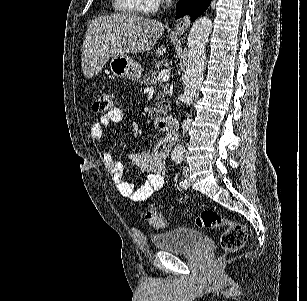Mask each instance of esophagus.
Masks as SVG:
<instances>
[{"instance_id":"esophagus-1","label":"esophagus","mask_w":307,"mask_h":301,"mask_svg":"<svg viewBox=\"0 0 307 301\" xmlns=\"http://www.w3.org/2000/svg\"><path fill=\"white\" fill-rule=\"evenodd\" d=\"M189 27V17L185 16L179 20L175 26V34L182 35Z\"/></svg>"}]
</instances>
